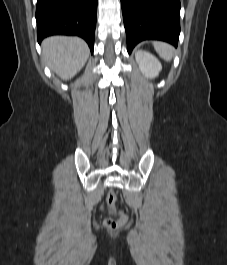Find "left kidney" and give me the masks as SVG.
<instances>
[{
	"instance_id": "obj_1",
	"label": "left kidney",
	"mask_w": 227,
	"mask_h": 265,
	"mask_svg": "<svg viewBox=\"0 0 227 265\" xmlns=\"http://www.w3.org/2000/svg\"><path fill=\"white\" fill-rule=\"evenodd\" d=\"M135 57L141 72L147 78H155L162 70L161 63L149 52L139 50Z\"/></svg>"
}]
</instances>
